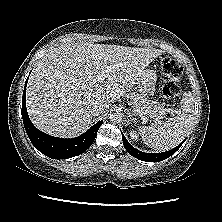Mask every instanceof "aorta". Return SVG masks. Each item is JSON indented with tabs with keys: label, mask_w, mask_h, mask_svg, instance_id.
<instances>
[{
	"label": "aorta",
	"mask_w": 222,
	"mask_h": 222,
	"mask_svg": "<svg viewBox=\"0 0 222 222\" xmlns=\"http://www.w3.org/2000/svg\"><path fill=\"white\" fill-rule=\"evenodd\" d=\"M110 121L113 123H120L122 121V114L119 111H113L110 113Z\"/></svg>",
	"instance_id": "obj_1"
}]
</instances>
